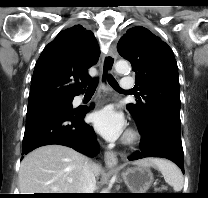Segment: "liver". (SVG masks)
Here are the masks:
<instances>
[{
    "instance_id": "6515ba94",
    "label": "liver",
    "mask_w": 208,
    "mask_h": 198,
    "mask_svg": "<svg viewBox=\"0 0 208 198\" xmlns=\"http://www.w3.org/2000/svg\"><path fill=\"white\" fill-rule=\"evenodd\" d=\"M87 157L62 145L40 147L21 162L19 170V190L21 194L34 193H77L79 179ZM135 165L155 167L154 159H142ZM95 176L102 168L93 163Z\"/></svg>"
}]
</instances>
